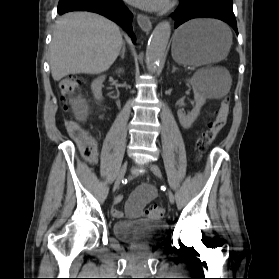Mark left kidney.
<instances>
[{
	"label": "left kidney",
	"mask_w": 279,
	"mask_h": 279,
	"mask_svg": "<svg viewBox=\"0 0 279 279\" xmlns=\"http://www.w3.org/2000/svg\"><path fill=\"white\" fill-rule=\"evenodd\" d=\"M188 82L193 87L196 106L188 114L184 113L182 110H178L177 115L179 118V122L184 129H188L192 126V124L200 114L201 107L206 103V97L201 93L199 89V84L195 77L188 80Z\"/></svg>",
	"instance_id": "1"
}]
</instances>
